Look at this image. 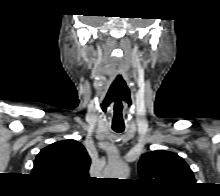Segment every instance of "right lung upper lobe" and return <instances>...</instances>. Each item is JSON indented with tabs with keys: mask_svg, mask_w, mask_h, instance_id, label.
Here are the masks:
<instances>
[{
	"mask_svg": "<svg viewBox=\"0 0 220 196\" xmlns=\"http://www.w3.org/2000/svg\"><path fill=\"white\" fill-rule=\"evenodd\" d=\"M90 163L83 145L73 139L63 140L40 151L32 174L56 184L76 185L89 178Z\"/></svg>",
	"mask_w": 220,
	"mask_h": 196,
	"instance_id": "right-lung-upper-lobe-1",
	"label": "right lung upper lobe"
}]
</instances>
